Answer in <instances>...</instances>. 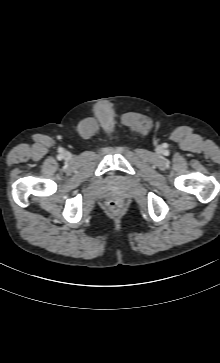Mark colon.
I'll list each match as a JSON object with an SVG mask.
<instances>
[{"label":"colon","instance_id":"obj_1","mask_svg":"<svg viewBox=\"0 0 220 363\" xmlns=\"http://www.w3.org/2000/svg\"><path fill=\"white\" fill-rule=\"evenodd\" d=\"M122 206H123V203L121 200H112L108 203V209L114 213L120 211Z\"/></svg>","mask_w":220,"mask_h":363}]
</instances>
